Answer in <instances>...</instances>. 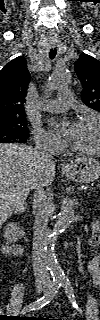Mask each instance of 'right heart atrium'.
I'll return each mask as SVG.
<instances>
[{"mask_svg":"<svg viewBox=\"0 0 100 320\" xmlns=\"http://www.w3.org/2000/svg\"><path fill=\"white\" fill-rule=\"evenodd\" d=\"M33 138L38 146L52 151H58L63 147L62 142L57 137L40 126H34Z\"/></svg>","mask_w":100,"mask_h":320,"instance_id":"right-heart-atrium-1","label":"right heart atrium"}]
</instances>
